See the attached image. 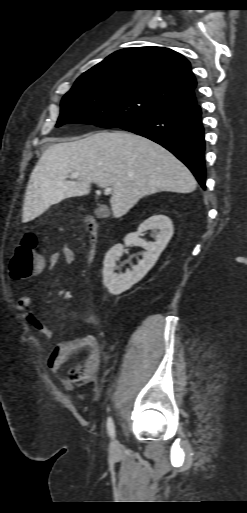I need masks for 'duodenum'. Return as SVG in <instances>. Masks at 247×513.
I'll return each instance as SVG.
<instances>
[{
	"label": "duodenum",
	"mask_w": 247,
	"mask_h": 513,
	"mask_svg": "<svg viewBox=\"0 0 247 513\" xmlns=\"http://www.w3.org/2000/svg\"><path fill=\"white\" fill-rule=\"evenodd\" d=\"M85 230L88 235V254L89 257L94 260L97 251V241H98V223L96 219L92 216H87L85 218Z\"/></svg>",
	"instance_id": "duodenum-1"
}]
</instances>
